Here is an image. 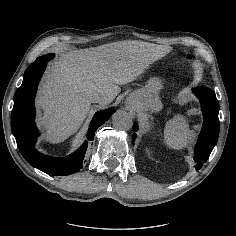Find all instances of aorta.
Wrapping results in <instances>:
<instances>
[{
	"mask_svg": "<svg viewBox=\"0 0 236 236\" xmlns=\"http://www.w3.org/2000/svg\"><path fill=\"white\" fill-rule=\"evenodd\" d=\"M113 126L119 130H129L132 128L133 121L129 113L119 110L112 116Z\"/></svg>",
	"mask_w": 236,
	"mask_h": 236,
	"instance_id": "aorta-1",
	"label": "aorta"
}]
</instances>
